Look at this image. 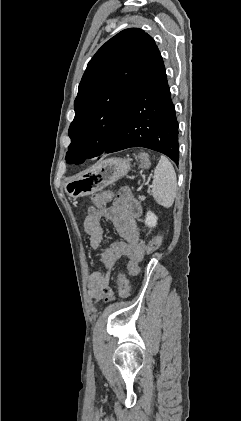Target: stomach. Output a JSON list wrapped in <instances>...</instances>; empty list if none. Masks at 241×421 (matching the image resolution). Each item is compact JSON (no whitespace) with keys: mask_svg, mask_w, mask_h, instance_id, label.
I'll list each match as a JSON object with an SVG mask.
<instances>
[{"mask_svg":"<svg viewBox=\"0 0 241 421\" xmlns=\"http://www.w3.org/2000/svg\"><path fill=\"white\" fill-rule=\"evenodd\" d=\"M130 170V162L123 158L102 160L81 175L69 179L64 190L71 198L93 194L123 177Z\"/></svg>","mask_w":241,"mask_h":421,"instance_id":"1","label":"stomach"}]
</instances>
